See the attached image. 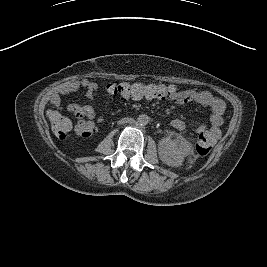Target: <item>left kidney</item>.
<instances>
[{"label": "left kidney", "mask_w": 267, "mask_h": 267, "mask_svg": "<svg viewBox=\"0 0 267 267\" xmlns=\"http://www.w3.org/2000/svg\"><path fill=\"white\" fill-rule=\"evenodd\" d=\"M160 160L169 167H180L184 161V152L169 138H162L158 143Z\"/></svg>", "instance_id": "1"}]
</instances>
